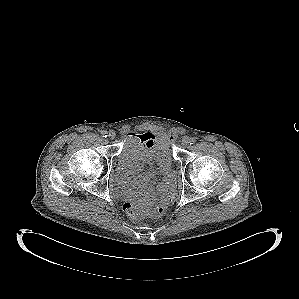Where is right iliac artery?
I'll return each instance as SVG.
<instances>
[{
    "mask_svg": "<svg viewBox=\"0 0 299 299\" xmlns=\"http://www.w3.org/2000/svg\"><path fill=\"white\" fill-rule=\"evenodd\" d=\"M101 134H102L103 137H107V136H108V135H107V134H108L107 131H102Z\"/></svg>",
    "mask_w": 299,
    "mask_h": 299,
    "instance_id": "82829eb1",
    "label": "right iliac artery"
}]
</instances>
